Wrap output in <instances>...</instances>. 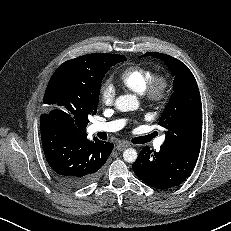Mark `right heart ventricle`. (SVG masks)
<instances>
[{"instance_id":"1","label":"right heart ventricle","mask_w":231,"mask_h":231,"mask_svg":"<svg viewBox=\"0 0 231 231\" xmlns=\"http://www.w3.org/2000/svg\"><path fill=\"white\" fill-rule=\"evenodd\" d=\"M153 76V71L142 65H131L125 68L118 77L119 83L132 92L143 95Z\"/></svg>"}]
</instances>
